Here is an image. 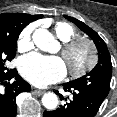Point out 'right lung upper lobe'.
Returning a JSON list of instances; mask_svg holds the SVG:
<instances>
[{
	"label": "right lung upper lobe",
	"mask_w": 117,
	"mask_h": 117,
	"mask_svg": "<svg viewBox=\"0 0 117 117\" xmlns=\"http://www.w3.org/2000/svg\"><path fill=\"white\" fill-rule=\"evenodd\" d=\"M42 17L43 15H30L25 13H3L0 14V27L8 25L12 21H18L27 26L30 22Z\"/></svg>",
	"instance_id": "right-lung-upper-lobe-1"
}]
</instances>
